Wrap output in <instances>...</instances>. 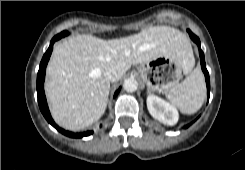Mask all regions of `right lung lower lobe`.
I'll use <instances>...</instances> for the list:
<instances>
[{
  "label": "right lung lower lobe",
  "instance_id": "98d812e1",
  "mask_svg": "<svg viewBox=\"0 0 245 170\" xmlns=\"http://www.w3.org/2000/svg\"><path fill=\"white\" fill-rule=\"evenodd\" d=\"M60 38H58V35H56L50 42V46L48 48V50L46 51V53L44 54L42 61L40 63V68L38 71V75H37V95H38V104L40 107V110L42 112V114L44 115V117L46 118V120L53 126L55 127L59 132H61L62 134L69 136V137H73V138H81L84 136H88L90 134H92V131H87L84 133H72L69 131H65L64 129L59 128L55 122L53 121L48 106H47V101H46V97H45V93H44V80H45V71H46V66L47 63L49 61L50 55L52 53L53 50V44L56 40H58ZM120 91V88L115 92L116 96Z\"/></svg>",
  "mask_w": 245,
  "mask_h": 170
}]
</instances>
